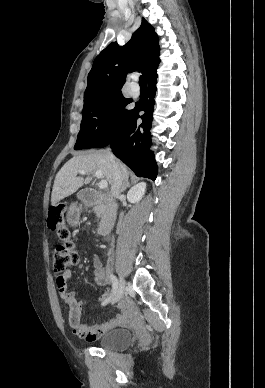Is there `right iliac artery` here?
I'll use <instances>...</instances> for the list:
<instances>
[{
  "mask_svg": "<svg viewBox=\"0 0 265 388\" xmlns=\"http://www.w3.org/2000/svg\"><path fill=\"white\" fill-rule=\"evenodd\" d=\"M108 277L112 282V293L114 295L118 289V280L112 273H109Z\"/></svg>",
  "mask_w": 265,
  "mask_h": 388,
  "instance_id": "1",
  "label": "right iliac artery"
}]
</instances>
